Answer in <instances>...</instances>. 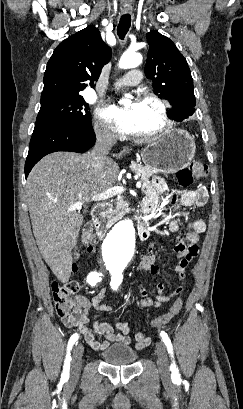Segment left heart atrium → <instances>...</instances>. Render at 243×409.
I'll use <instances>...</instances> for the list:
<instances>
[{"label": "left heart atrium", "instance_id": "left-heart-atrium-1", "mask_svg": "<svg viewBox=\"0 0 243 409\" xmlns=\"http://www.w3.org/2000/svg\"><path fill=\"white\" fill-rule=\"evenodd\" d=\"M103 116L121 133H133L135 125V109L128 107L109 106L103 110Z\"/></svg>", "mask_w": 243, "mask_h": 409}]
</instances>
